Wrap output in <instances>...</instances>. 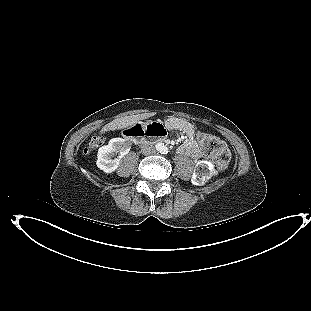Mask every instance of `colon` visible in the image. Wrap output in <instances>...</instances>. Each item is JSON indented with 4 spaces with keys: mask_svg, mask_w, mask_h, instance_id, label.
<instances>
[{
    "mask_svg": "<svg viewBox=\"0 0 311 311\" xmlns=\"http://www.w3.org/2000/svg\"><path fill=\"white\" fill-rule=\"evenodd\" d=\"M129 130H127L126 133H128ZM156 130L158 135L165 136V130L163 128L159 127ZM103 142V137L99 135L93 136L89 145L84 149V153L90 154L95 149L100 147ZM200 147L203 154L213 161L217 169L225 170L228 167L231 160V151L228 146L219 138L208 134H202L200 136ZM213 174L214 170L212 169L210 164L206 161H201L197 164L195 168L193 180L196 184L201 185L209 181L212 178Z\"/></svg>",
    "mask_w": 311,
    "mask_h": 311,
    "instance_id": "1",
    "label": "colon"
}]
</instances>
